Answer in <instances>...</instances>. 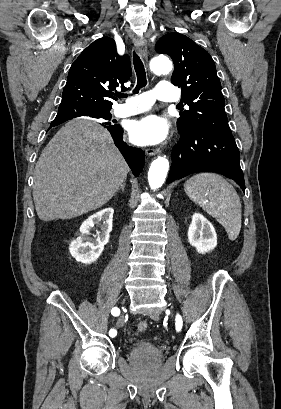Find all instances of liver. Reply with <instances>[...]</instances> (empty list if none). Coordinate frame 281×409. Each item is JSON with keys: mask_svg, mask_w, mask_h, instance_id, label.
Masks as SVG:
<instances>
[{"mask_svg": "<svg viewBox=\"0 0 281 409\" xmlns=\"http://www.w3.org/2000/svg\"><path fill=\"white\" fill-rule=\"evenodd\" d=\"M129 170L105 126L89 118L69 120L36 162L33 200L39 219H73L103 207Z\"/></svg>", "mask_w": 281, "mask_h": 409, "instance_id": "1", "label": "liver"}]
</instances>
